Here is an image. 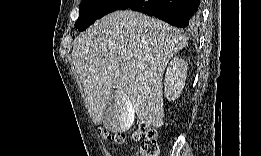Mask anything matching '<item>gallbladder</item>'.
I'll return each instance as SVG.
<instances>
[{
	"mask_svg": "<svg viewBox=\"0 0 261 156\" xmlns=\"http://www.w3.org/2000/svg\"><path fill=\"white\" fill-rule=\"evenodd\" d=\"M116 93L110 94V98L105 105L103 113V124L113 132H122L128 130L133 125L134 106L127 99V94L123 90H116Z\"/></svg>",
	"mask_w": 261,
	"mask_h": 156,
	"instance_id": "1",
	"label": "gallbladder"
}]
</instances>
